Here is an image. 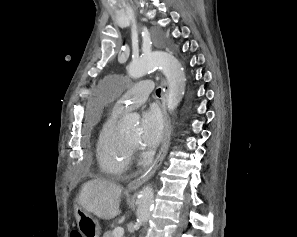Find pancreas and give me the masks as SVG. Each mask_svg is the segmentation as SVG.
Masks as SVG:
<instances>
[{
  "label": "pancreas",
  "mask_w": 297,
  "mask_h": 237,
  "mask_svg": "<svg viewBox=\"0 0 297 237\" xmlns=\"http://www.w3.org/2000/svg\"><path fill=\"white\" fill-rule=\"evenodd\" d=\"M103 237H113V232L112 231H107L104 233Z\"/></svg>",
  "instance_id": "pancreas-1"
}]
</instances>
